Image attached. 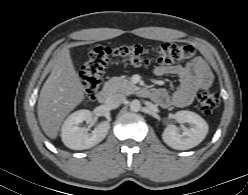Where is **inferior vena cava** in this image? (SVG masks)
I'll return each instance as SVG.
<instances>
[{
	"instance_id": "inferior-vena-cava-1",
	"label": "inferior vena cava",
	"mask_w": 248,
	"mask_h": 195,
	"mask_svg": "<svg viewBox=\"0 0 248 195\" xmlns=\"http://www.w3.org/2000/svg\"><path fill=\"white\" fill-rule=\"evenodd\" d=\"M125 99L126 97L123 94L120 93L112 94L107 98L106 105L110 109H115L119 107L125 101Z\"/></svg>"
}]
</instances>
